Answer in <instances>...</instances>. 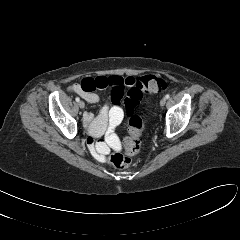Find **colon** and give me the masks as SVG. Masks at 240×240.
Masks as SVG:
<instances>
[{
	"mask_svg": "<svg viewBox=\"0 0 240 240\" xmlns=\"http://www.w3.org/2000/svg\"><path fill=\"white\" fill-rule=\"evenodd\" d=\"M167 82L164 78L155 75L141 77L135 85L129 89L125 99V108L129 116V136L124 140L125 153L114 152L108 157V162L115 168L124 169L130 166V156L139 153L141 148V136L144 123L141 117L134 114V109L143 93L155 94L164 91Z\"/></svg>",
	"mask_w": 240,
	"mask_h": 240,
	"instance_id": "obj_1",
	"label": "colon"
}]
</instances>
